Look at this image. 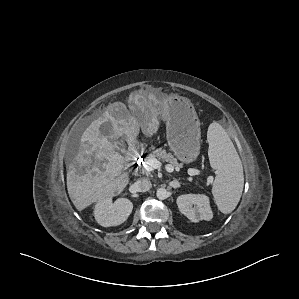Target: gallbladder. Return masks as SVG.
<instances>
[{"label":"gallbladder","instance_id":"bac80fb5","mask_svg":"<svg viewBox=\"0 0 299 299\" xmlns=\"http://www.w3.org/2000/svg\"><path fill=\"white\" fill-rule=\"evenodd\" d=\"M100 131L104 136L111 137L113 135L112 124L110 122H106V123L102 124L100 127ZM114 143H115L116 147L118 148V150H120V151L124 150V145L121 142L117 141Z\"/></svg>","mask_w":299,"mask_h":299}]
</instances>
